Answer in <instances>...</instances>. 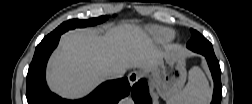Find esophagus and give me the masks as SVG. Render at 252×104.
Instances as JSON below:
<instances>
[{"mask_svg":"<svg viewBox=\"0 0 252 104\" xmlns=\"http://www.w3.org/2000/svg\"><path fill=\"white\" fill-rule=\"evenodd\" d=\"M139 77H140V74L138 71L130 72L128 75V80H129L130 85L131 86L134 85L138 81Z\"/></svg>","mask_w":252,"mask_h":104,"instance_id":"esophagus-1","label":"esophagus"}]
</instances>
